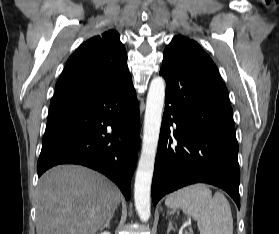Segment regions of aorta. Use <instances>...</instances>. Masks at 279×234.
<instances>
[{
	"label": "aorta",
	"mask_w": 279,
	"mask_h": 234,
	"mask_svg": "<svg viewBox=\"0 0 279 234\" xmlns=\"http://www.w3.org/2000/svg\"><path fill=\"white\" fill-rule=\"evenodd\" d=\"M165 100V81L162 77L152 79L146 101L143 141L134 185V201L138 216L148 221L151 215V183L158 147L162 113Z\"/></svg>",
	"instance_id": "obj_1"
}]
</instances>
